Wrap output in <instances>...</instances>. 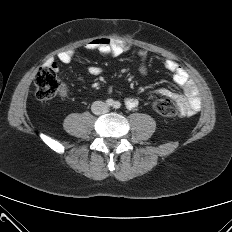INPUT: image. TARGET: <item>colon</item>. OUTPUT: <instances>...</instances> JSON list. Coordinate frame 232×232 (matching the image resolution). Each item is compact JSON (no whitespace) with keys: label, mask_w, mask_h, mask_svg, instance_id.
Here are the masks:
<instances>
[{"label":"colon","mask_w":232,"mask_h":232,"mask_svg":"<svg viewBox=\"0 0 232 232\" xmlns=\"http://www.w3.org/2000/svg\"><path fill=\"white\" fill-rule=\"evenodd\" d=\"M36 96L40 100L51 99L61 91V83L51 65L41 67L35 77ZM155 112L163 117H175L178 104L170 98H158L153 102Z\"/></svg>","instance_id":"1"}]
</instances>
